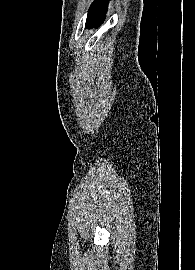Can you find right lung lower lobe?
Masks as SVG:
<instances>
[{
    "mask_svg": "<svg viewBox=\"0 0 195 270\" xmlns=\"http://www.w3.org/2000/svg\"><path fill=\"white\" fill-rule=\"evenodd\" d=\"M109 0H95L89 9L87 16L86 27L90 28L96 26L103 21L107 11Z\"/></svg>",
    "mask_w": 195,
    "mask_h": 270,
    "instance_id": "obj_1",
    "label": "right lung lower lobe"
}]
</instances>
